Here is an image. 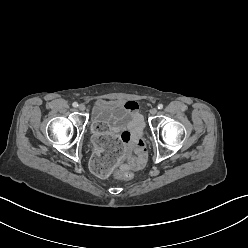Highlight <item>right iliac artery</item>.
Masks as SVG:
<instances>
[{
	"mask_svg": "<svg viewBox=\"0 0 248 248\" xmlns=\"http://www.w3.org/2000/svg\"><path fill=\"white\" fill-rule=\"evenodd\" d=\"M72 105H73V107H78V103L77 102H74Z\"/></svg>",
	"mask_w": 248,
	"mask_h": 248,
	"instance_id": "right-iliac-artery-1",
	"label": "right iliac artery"
}]
</instances>
